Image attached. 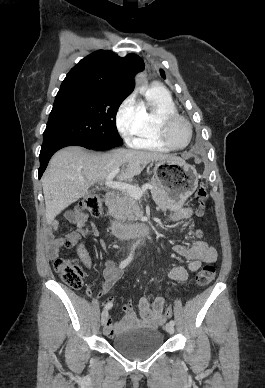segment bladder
<instances>
[{
    "mask_svg": "<svg viewBox=\"0 0 265 388\" xmlns=\"http://www.w3.org/2000/svg\"><path fill=\"white\" fill-rule=\"evenodd\" d=\"M163 335L157 329L123 332L113 338V347L126 357L140 359L155 352L163 342Z\"/></svg>",
    "mask_w": 265,
    "mask_h": 388,
    "instance_id": "bladder-1",
    "label": "bladder"
}]
</instances>
